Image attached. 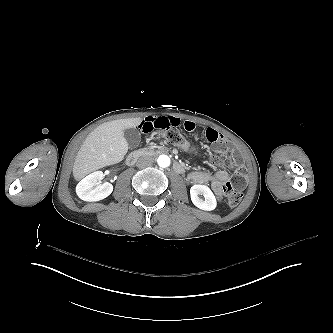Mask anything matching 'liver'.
<instances>
[{
	"instance_id": "6515ba94",
	"label": "liver",
	"mask_w": 333,
	"mask_h": 333,
	"mask_svg": "<svg viewBox=\"0 0 333 333\" xmlns=\"http://www.w3.org/2000/svg\"><path fill=\"white\" fill-rule=\"evenodd\" d=\"M142 118L118 119L96 127L85 139L73 165V176L79 181L87 174L121 162L128 151L124 130L135 128Z\"/></svg>"
}]
</instances>
